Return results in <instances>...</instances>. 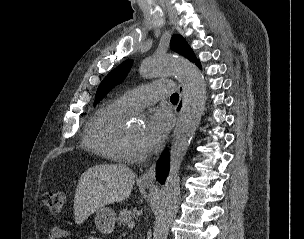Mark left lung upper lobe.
<instances>
[{
    "mask_svg": "<svg viewBox=\"0 0 304 239\" xmlns=\"http://www.w3.org/2000/svg\"><path fill=\"white\" fill-rule=\"evenodd\" d=\"M170 46L173 51L185 56L193 62H196V64L199 63L192 49L182 36L174 35L171 39ZM132 63L133 61L131 59L124 61L104 78L97 89L95 103H98L115 85L124 80L132 66Z\"/></svg>",
    "mask_w": 304,
    "mask_h": 239,
    "instance_id": "obj_1",
    "label": "left lung upper lobe"
}]
</instances>
